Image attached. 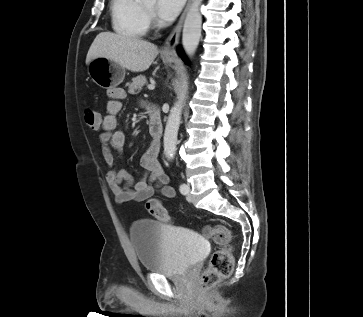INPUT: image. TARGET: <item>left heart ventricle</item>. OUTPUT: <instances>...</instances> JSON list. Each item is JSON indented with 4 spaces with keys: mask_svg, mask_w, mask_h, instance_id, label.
I'll use <instances>...</instances> for the list:
<instances>
[{
    "mask_svg": "<svg viewBox=\"0 0 363 317\" xmlns=\"http://www.w3.org/2000/svg\"><path fill=\"white\" fill-rule=\"evenodd\" d=\"M144 5L148 8V9H150V10H154V8H155V1H148V2H145L144 3Z\"/></svg>",
    "mask_w": 363,
    "mask_h": 317,
    "instance_id": "left-heart-ventricle-1",
    "label": "left heart ventricle"
}]
</instances>
